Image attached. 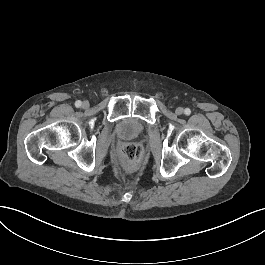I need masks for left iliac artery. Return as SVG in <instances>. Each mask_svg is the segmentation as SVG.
<instances>
[{"label": "left iliac artery", "instance_id": "1", "mask_svg": "<svg viewBox=\"0 0 265 265\" xmlns=\"http://www.w3.org/2000/svg\"><path fill=\"white\" fill-rule=\"evenodd\" d=\"M184 112H185L186 115H190L191 114V110L189 108H186L184 110Z\"/></svg>", "mask_w": 265, "mask_h": 265}]
</instances>
